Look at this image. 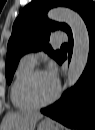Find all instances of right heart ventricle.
Instances as JSON below:
<instances>
[{"label":"right heart ventricle","instance_id":"e07e8e85","mask_svg":"<svg viewBox=\"0 0 95 130\" xmlns=\"http://www.w3.org/2000/svg\"><path fill=\"white\" fill-rule=\"evenodd\" d=\"M33 69V65L21 60L14 73L10 87V98L13 105L20 111H29L36 108L28 102L24 94L25 81Z\"/></svg>","mask_w":95,"mask_h":130}]
</instances>
